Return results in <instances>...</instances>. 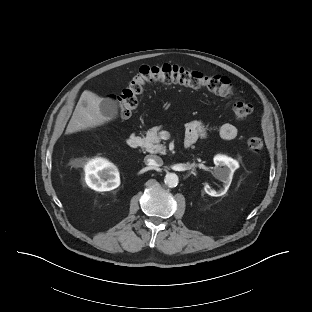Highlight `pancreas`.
Masks as SVG:
<instances>
[{
	"label": "pancreas",
	"instance_id": "obj_1",
	"mask_svg": "<svg viewBox=\"0 0 312 312\" xmlns=\"http://www.w3.org/2000/svg\"><path fill=\"white\" fill-rule=\"evenodd\" d=\"M161 127H153L146 132V136L143 138V147L151 154H165L166 147L160 144L161 138L159 136V130Z\"/></svg>",
	"mask_w": 312,
	"mask_h": 312
}]
</instances>
